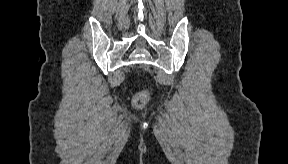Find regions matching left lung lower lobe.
Here are the masks:
<instances>
[{
  "label": "left lung lower lobe",
  "instance_id": "0a47b994",
  "mask_svg": "<svg viewBox=\"0 0 288 164\" xmlns=\"http://www.w3.org/2000/svg\"><path fill=\"white\" fill-rule=\"evenodd\" d=\"M255 81L259 82V87L257 89L252 87V83ZM248 82H249V91H247L246 95L253 101H256L261 96V88L265 87L266 76L262 72L249 73Z\"/></svg>",
  "mask_w": 288,
  "mask_h": 164
}]
</instances>
